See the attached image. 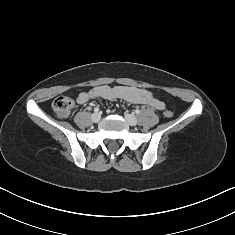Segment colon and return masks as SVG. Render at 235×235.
<instances>
[{
    "label": "colon",
    "mask_w": 235,
    "mask_h": 235,
    "mask_svg": "<svg viewBox=\"0 0 235 235\" xmlns=\"http://www.w3.org/2000/svg\"><path fill=\"white\" fill-rule=\"evenodd\" d=\"M74 106V102L71 98L66 96H58L54 99L52 103V108L55 114L60 118H65L69 116ZM164 115L166 117H172L173 112L170 110L165 111Z\"/></svg>",
    "instance_id": "colon-1"
}]
</instances>
